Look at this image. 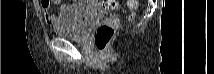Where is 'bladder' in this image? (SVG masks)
<instances>
[{"instance_id":"obj_1","label":"bladder","mask_w":214,"mask_h":74,"mask_svg":"<svg viewBox=\"0 0 214 74\" xmlns=\"http://www.w3.org/2000/svg\"><path fill=\"white\" fill-rule=\"evenodd\" d=\"M104 17L105 13L94 3L78 1L59 16L54 32L67 39L84 41L90 28Z\"/></svg>"}]
</instances>
